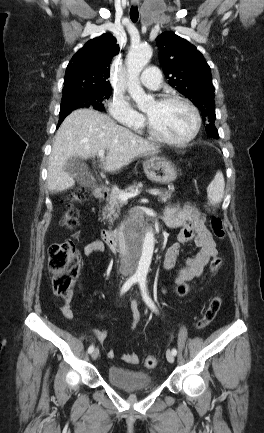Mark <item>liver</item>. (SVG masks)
<instances>
[{
	"instance_id": "obj_1",
	"label": "liver",
	"mask_w": 264,
	"mask_h": 433,
	"mask_svg": "<svg viewBox=\"0 0 264 433\" xmlns=\"http://www.w3.org/2000/svg\"><path fill=\"white\" fill-rule=\"evenodd\" d=\"M107 149L101 167L114 172L135 158L158 153L159 146L116 124L109 116L93 109H78L69 114L56 132L48 164V189L64 191L75 185L65 171L67 161L78 156L94 157Z\"/></svg>"
}]
</instances>
